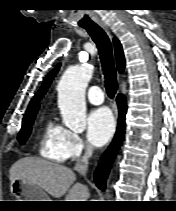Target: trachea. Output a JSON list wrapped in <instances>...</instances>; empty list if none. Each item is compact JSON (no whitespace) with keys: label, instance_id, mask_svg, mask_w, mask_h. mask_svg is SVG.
Returning a JSON list of instances; mask_svg holds the SVG:
<instances>
[{"label":"trachea","instance_id":"3493384b","mask_svg":"<svg viewBox=\"0 0 176 211\" xmlns=\"http://www.w3.org/2000/svg\"><path fill=\"white\" fill-rule=\"evenodd\" d=\"M83 28L87 30L92 40L97 45L105 78V88L108 96L113 98L117 91L118 84L111 42L105 31L100 26L93 24L84 26Z\"/></svg>","mask_w":176,"mask_h":211}]
</instances>
